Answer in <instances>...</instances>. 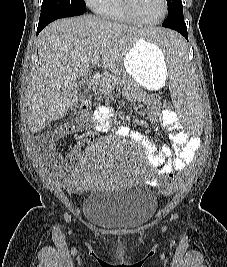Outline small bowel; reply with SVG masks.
I'll return each mask as SVG.
<instances>
[{
    "mask_svg": "<svg viewBox=\"0 0 227 267\" xmlns=\"http://www.w3.org/2000/svg\"><path fill=\"white\" fill-rule=\"evenodd\" d=\"M152 108L149 117L152 121L162 125L171 135L175 145L172 148L167 143L156 144L147 137L128 131L126 128H118L117 133L122 136H128L139 141L143 147L149 163L157 169V174L148 182L156 186L158 178L162 173H172L181 170L186 164L190 163L195 156V152L200 148V139L191 137L181 129L176 113L171 109H161L156 101H152ZM112 108L106 105L98 107L92 116V128L97 133H105L111 127ZM79 130L77 126H68L61 130V133L55 131L51 137L55 138L60 134L74 133ZM88 140H82L79 145H85ZM64 178L69 185L85 186L88 182L89 175L86 172V165L82 163L76 168L64 166L62 168Z\"/></svg>",
    "mask_w": 227,
    "mask_h": 267,
    "instance_id": "small-bowel-1",
    "label": "small bowel"
}]
</instances>
